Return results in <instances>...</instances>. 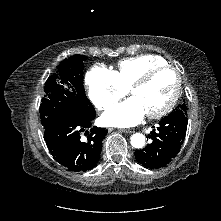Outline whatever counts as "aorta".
I'll list each match as a JSON object with an SVG mask.
<instances>
[{
	"instance_id": "1",
	"label": "aorta",
	"mask_w": 221,
	"mask_h": 221,
	"mask_svg": "<svg viewBox=\"0 0 221 221\" xmlns=\"http://www.w3.org/2000/svg\"><path fill=\"white\" fill-rule=\"evenodd\" d=\"M130 142L134 148H142L145 145V136L141 133H135L131 136Z\"/></svg>"
}]
</instances>
